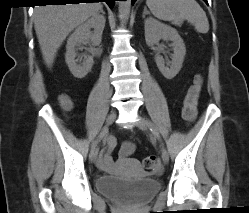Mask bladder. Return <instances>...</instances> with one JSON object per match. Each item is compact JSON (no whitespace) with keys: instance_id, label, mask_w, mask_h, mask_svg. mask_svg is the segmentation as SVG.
Returning a JSON list of instances; mask_svg holds the SVG:
<instances>
[{"instance_id":"1","label":"bladder","mask_w":249,"mask_h":213,"mask_svg":"<svg viewBox=\"0 0 249 213\" xmlns=\"http://www.w3.org/2000/svg\"><path fill=\"white\" fill-rule=\"evenodd\" d=\"M97 190L109 198L128 204H142L160 189V183L149 176L124 179L117 176H101L97 179Z\"/></svg>"}]
</instances>
